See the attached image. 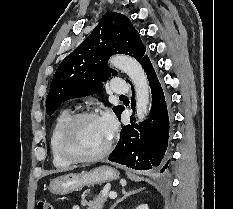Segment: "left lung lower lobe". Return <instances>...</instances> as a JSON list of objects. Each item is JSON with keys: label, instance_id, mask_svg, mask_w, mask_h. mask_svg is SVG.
Masks as SVG:
<instances>
[{"label": "left lung lower lobe", "instance_id": "obj_1", "mask_svg": "<svg viewBox=\"0 0 233 209\" xmlns=\"http://www.w3.org/2000/svg\"><path fill=\"white\" fill-rule=\"evenodd\" d=\"M140 64L144 68L152 93V108L149 118L135 125L131 116V124L123 126L116 148L109 156L112 162L126 165L136 170H150L156 167L161 172L168 169L165 152L169 138V117L165 96L155 70L148 56H144ZM131 84V82H130ZM132 92L134 93L133 85ZM132 108L135 103L132 101ZM124 108L117 116L120 115Z\"/></svg>", "mask_w": 233, "mask_h": 209}]
</instances>
